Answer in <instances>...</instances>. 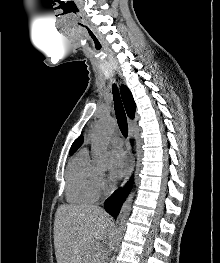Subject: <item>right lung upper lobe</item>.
I'll use <instances>...</instances> for the list:
<instances>
[{"label": "right lung upper lobe", "mask_w": 220, "mask_h": 263, "mask_svg": "<svg viewBox=\"0 0 220 263\" xmlns=\"http://www.w3.org/2000/svg\"><path fill=\"white\" fill-rule=\"evenodd\" d=\"M120 91H121V96H122V100L126 109V112L128 114V116L132 119L134 118V114H135V109H136V105L135 102L133 100L132 94L130 92V90L125 86L122 85L120 87ZM83 142V136H79L75 142L73 143L71 149H70V155L73 154L77 148H79L81 146Z\"/></svg>", "instance_id": "right-lung-upper-lobe-1"}]
</instances>
